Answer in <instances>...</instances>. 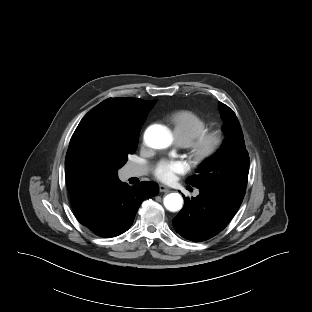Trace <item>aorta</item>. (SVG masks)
<instances>
[{
	"label": "aorta",
	"instance_id": "1",
	"mask_svg": "<svg viewBox=\"0 0 312 312\" xmlns=\"http://www.w3.org/2000/svg\"><path fill=\"white\" fill-rule=\"evenodd\" d=\"M145 141L152 148L163 149L171 145L172 135L165 126L152 125L145 132ZM164 205L169 211H179L183 206V198L178 193H170L165 196Z\"/></svg>",
	"mask_w": 312,
	"mask_h": 312
}]
</instances>
